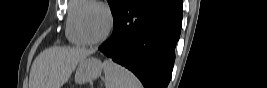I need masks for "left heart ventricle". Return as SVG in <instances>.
Here are the masks:
<instances>
[{
	"instance_id": "b2bd125f",
	"label": "left heart ventricle",
	"mask_w": 267,
	"mask_h": 88,
	"mask_svg": "<svg viewBox=\"0 0 267 88\" xmlns=\"http://www.w3.org/2000/svg\"><path fill=\"white\" fill-rule=\"evenodd\" d=\"M83 27L90 39H98L107 27L106 14L100 8H89L83 17Z\"/></svg>"
}]
</instances>
